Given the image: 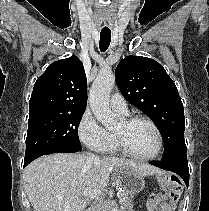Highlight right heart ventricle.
Segmentation results:
<instances>
[{"label":"right heart ventricle","instance_id":"right-heart-ventricle-1","mask_svg":"<svg viewBox=\"0 0 209 211\" xmlns=\"http://www.w3.org/2000/svg\"><path fill=\"white\" fill-rule=\"evenodd\" d=\"M108 135H109L108 141L104 145V147L101 149V151L106 154L115 155L119 152V150L116 145L114 133L108 131Z\"/></svg>","mask_w":209,"mask_h":211}]
</instances>
